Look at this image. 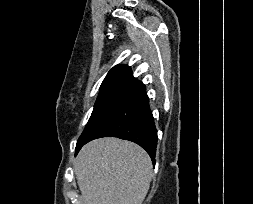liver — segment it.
<instances>
[{
  "label": "liver",
  "instance_id": "obj_1",
  "mask_svg": "<svg viewBox=\"0 0 253 204\" xmlns=\"http://www.w3.org/2000/svg\"><path fill=\"white\" fill-rule=\"evenodd\" d=\"M82 204H142L152 162L139 145L115 137L84 145L74 162Z\"/></svg>",
  "mask_w": 253,
  "mask_h": 204
}]
</instances>
